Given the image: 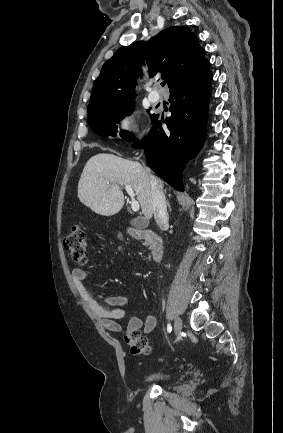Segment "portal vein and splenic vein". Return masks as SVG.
I'll list each match as a JSON object with an SVG mask.
<instances>
[{"mask_svg":"<svg viewBox=\"0 0 283 433\" xmlns=\"http://www.w3.org/2000/svg\"><path fill=\"white\" fill-rule=\"evenodd\" d=\"M107 182H109V180H107ZM125 188L129 194V196H131V198H132L131 208H132V210H135V212H136V210H139L140 206H139L138 200H135V198H134V196H135L134 190H132L130 184H125Z\"/></svg>","mask_w":283,"mask_h":433,"instance_id":"1","label":"portal vein and splenic vein"}]
</instances>
